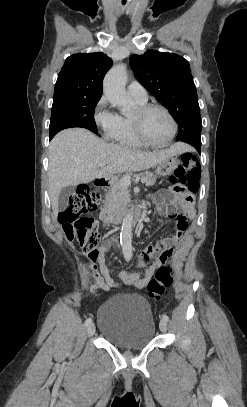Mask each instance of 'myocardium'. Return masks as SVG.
<instances>
[{"mask_svg":"<svg viewBox=\"0 0 247 407\" xmlns=\"http://www.w3.org/2000/svg\"><path fill=\"white\" fill-rule=\"evenodd\" d=\"M155 109L161 110L162 112H164L167 115V117L170 119L171 124H172V133H171L170 137L168 138V140L162 144H153V143L149 142L143 133V127H142L143 118L148 112H150L151 110H155ZM130 119H131V125H132V129H133L135 137L143 146H146L149 148L160 149V148H165V147L169 146L172 143V141L174 140V138L177 134V131H178V124H177V121H176L175 117L173 116V114L166 107L159 105V104H145L143 106L137 107L135 112L133 113V115L130 117Z\"/></svg>","mask_w":247,"mask_h":407,"instance_id":"obj_1","label":"myocardium"}]
</instances>
